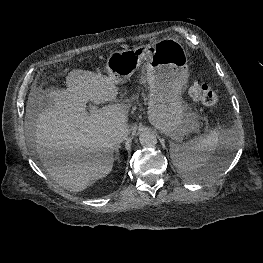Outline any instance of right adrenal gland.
I'll return each instance as SVG.
<instances>
[{"instance_id": "right-adrenal-gland-1", "label": "right adrenal gland", "mask_w": 263, "mask_h": 263, "mask_svg": "<svg viewBox=\"0 0 263 263\" xmlns=\"http://www.w3.org/2000/svg\"><path fill=\"white\" fill-rule=\"evenodd\" d=\"M121 147V145H115V147H114V150H115V152H116V157H115V161H117L118 163H120V157H119V155H120V153H119V148Z\"/></svg>"}]
</instances>
